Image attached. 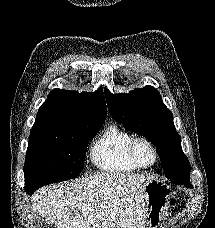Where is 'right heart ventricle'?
Masks as SVG:
<instances>
[{"instance_id":"right-heart-ventricle-1","label":"right heart ventricle","mask_w":215,"mask_h":228,"mask_svg":"<svg viewBox=\"0 0 215 228\" xmlns=\"http://www.w3.org/2000/svg\"><path fill=\"white\" fill-rule=\"evenodd\" d=\"M135 138L117 124L108 125L90 148V160L101 171L128 174L137 171L128 158V146Z\"/></svg>"}]
</instances>
